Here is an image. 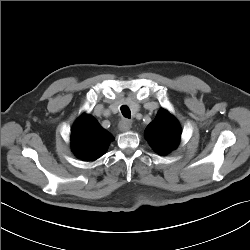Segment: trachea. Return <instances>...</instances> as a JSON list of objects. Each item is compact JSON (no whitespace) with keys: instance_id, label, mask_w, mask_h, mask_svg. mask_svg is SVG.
<instances>
[{"instance_id":"trachea-1","label":"trachea","mask_w":250,"mask_h":250,"mask_svg":"<svg viewBox=\"0 0 250 250\" xmlns=\"http://www.w3.org/2000/svg\"><path fill=\"white\" fill-rule=\"evenodd\" d=\"M121 112L124 117L131 118V112L127 106L125 105L121 106Z\"/></svg>"}]
</instances>
